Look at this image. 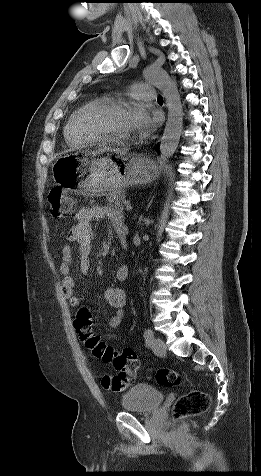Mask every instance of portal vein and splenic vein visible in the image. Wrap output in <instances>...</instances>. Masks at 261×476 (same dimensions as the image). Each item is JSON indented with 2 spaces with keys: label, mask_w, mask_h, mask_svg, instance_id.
<instances>
[{
  "label": "portal vein and splenic vein",
  "mask_w": 261,
  "mask_h": 476,
  "mask_svg": "<svg viewBox=\"0 0 261 476\" xmlns=\"http://www.w3.org/2000/svg\"><path fill=\"white\" fill-rule=\"evenodd\" d=\"M125 206H126L127 211L132 210V206H131V203L129 201L125 202Z\"/></svg>",
  "instance_id": "18ae733b"
}]
</instances>
